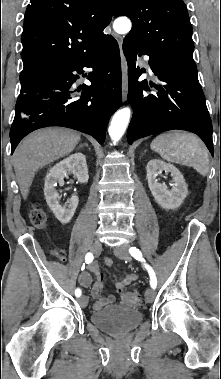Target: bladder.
<instances>
[{
  "label": "bladder",
  "instance_id": "obj_1",
  "mask_svg": "<svg viewBox=\"0 0 221 379\" xmlns=\"http://www.w3.org/2000/svg\"><path fill=\"white\" fill-rule=\"evenodd\" d=\"M142 319L139 310L119 306H109L91 314L92 323L113 336L128 334L140 325Z\"/></svg>",
  "mask_w": 221,
  "mask_h": 379
}]
</instances>
